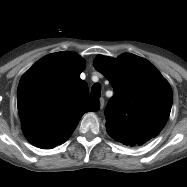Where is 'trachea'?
I'll return each mask as SVG.
<instances>
[{
    "label": "trachea",
    "instance_id": "trachea-1",
    "mask_svg": "<svg viewBox=\"0 0 187 187\" xmlns=\"http://www.w3.org/2000/svg\"><path fill=\"white\" fill-rule=\"evenodd\" d=\"M101 96V85L96 83L91 88V97L99 98Z\"/></svg>",
    "mask_w": 187,
    "mask_h": 187
}]
</instances>
